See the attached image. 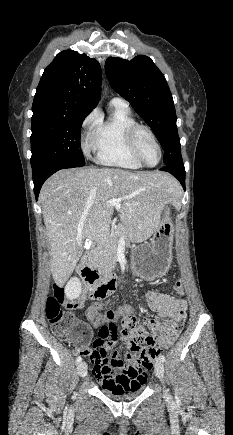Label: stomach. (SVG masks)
I'll return each mask as SVG.
<instances>
[{"label": "stomach", "mask_w": 233, "mask_h": 435, "mask_svg": "<svg viewBox=\"0 0 233 435\" xmlns=\"http://www.w3.org/2000/svg\"><path fill=\"white\" fill-rule=\"evenodd\" d=\"M169 204L163 209L160 224L152 234L151 243L134 248L131 254V272L144 280L165 275L171 266L175 227Z\"/></svg>", "instance_id": "stomach-1"}]
</instances>
